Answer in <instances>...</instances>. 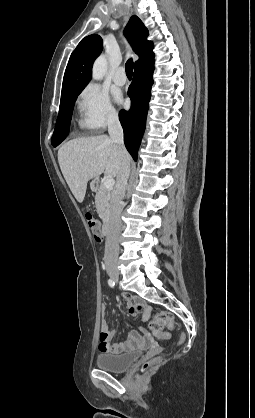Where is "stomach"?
<instances>
[{
	"mask_svg": "<svg viewBox=\"0 0 255 418\" xmlns=\"http://www.w3.org/2000/svg\"><path fill=\"white\" fill-rule=\"evenodd\" d=\"M95 183V180L92 182V185Z\"/></svg>",
	"mask_w": 255,
	"mask_h": 418,
	"instance_id": "stomach-1",
	"label": "stomach"
}]
</instances>
